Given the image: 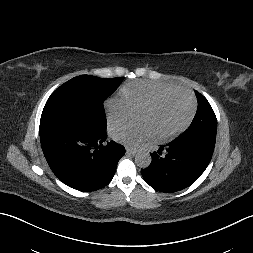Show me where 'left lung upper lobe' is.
Here are the masks:
<instances>
[{
  "label": "left lung upper lobe",
  "mask_w": 253,
  "mask_h": 253,
  "mask_svg": "<svg viewBox=\"0 0 253 253\" xmlns=\"http://www.w3.org/2000/svg\"><path fill=\"white\" fill-rule=\"evenodd\" d=\"M198 108L189 128L173 141H188L197 143L211 153L214 151L217 119L207 99L196 91Z\"/></svg>",
  "instance_id": "obj_1"
}]
</instances>
